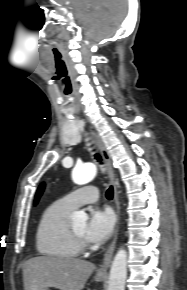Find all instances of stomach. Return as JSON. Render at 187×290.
<instances>
[{"mask_svg":"<svg viewBox=\"0 0 187 290\" xmlns=\"http://www.w3.org/2000/svg\"><path fill=\"white\" fill-rule=\"evenodd\" d=\"M104 278H105L104 276L96 275V276H95V281H98V282H99V281L104 280ZM45 290H46V289H45Z\"/></svg>","mask_w":187,"mask_h":290,"instance_id":"stomach-1","label":"stomach"}]
</instances>
